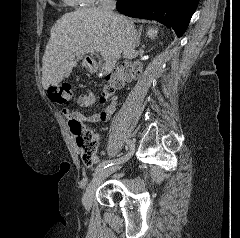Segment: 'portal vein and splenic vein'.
<instances>
[{
  "mask_svg": "<svg viewBox=\"0 0 240 238\" xmlns=\"http://www.w3.org/2000/svg\"><path fill=\"white\" fill-rule=\"evenodd\" d=\"M85 50H86V52H89V53H94V52H95V50H94V48H93L92 45L86 46ZM111 67H113L112 62L106 61V62L104 63V68H105V69H110Z\"/></svg>",
  "mask_w": 240,
  "mask_h": 238,
  "instance_id": "obj_1",
  "label": "portal vein and splenic vein"
}]
</instances>
